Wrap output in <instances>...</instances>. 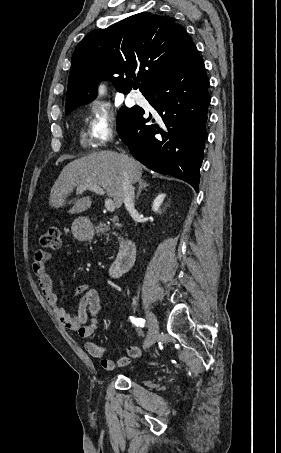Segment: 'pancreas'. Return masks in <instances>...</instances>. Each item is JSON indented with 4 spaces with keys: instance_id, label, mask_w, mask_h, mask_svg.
<instances>
[{
    "instance_id": "pancreas-1",
    "label": "pancreas",
    "mask_w": 281,
    "mask_h": 453,
    "mask_svg": "<svg viewBox=\"0 0 281 453\" xmlns=\"http://www.w3.org/2000/svg\"><path fill=\"white\" fill-rule=\"evenodd\" d=\"M115 224H117V227H121V224H119V222H115ZM102 229L109 231L108 227H106V224H100V227H97V231H102Z\"/></svg>"
}]
</instances>
